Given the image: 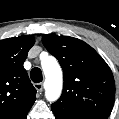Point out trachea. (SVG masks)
<instances>
[{
    "label": "trachea",
    "mask_w": 119,
    "mask_h": 119,
    "mask_svg": "<svg viewBox=\"0 0 119 119\" xmlns=\"http://www.w3.org/2000/svg\"><path fill=\"white\" fill-rule=\"evenodd\" d=\"M30 78L33 82L39 83L43 80L41 69L38 67H35L30 72Z\"/></svg>",
    "instance_id": "trachea-1"
}]
</instances>
